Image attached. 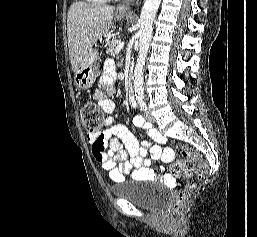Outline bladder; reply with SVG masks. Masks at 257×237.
<instances>
[{
  "instance_id": "1",
  "label": "bladder",
  "mask_w": 257,
  "mask_h": 237,
  "mask_svg": "<svg viewBox=\"0 0 257 237\" xmlns=\"http://www.w3.org/2000/svg\"><path fill=\"white\" fill-rule=\"evenodd\" d=\"M145 180L123 181L112 185V194L128 200L133 205L145 210H157L163 207L169 200L166 190L144 187Z\"/></svg>"
}]
</instances>
